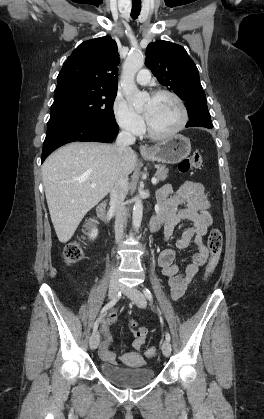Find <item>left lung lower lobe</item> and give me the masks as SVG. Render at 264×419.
<instances>
[{
	"label": "left lung lower lobe",
	"mask_w": 264,
	"mask_h": 419,
	"mask_svg": "<svg viewBox=\"0 0 264 419\" xmlns=\"http://www.w3.org/2000/svg\"><path fill=\"white\" fill-rule=\"evenodd\" d=\"M199 113L194 115H189V121L186 124V127H195V126H201L206 128H212L213 124L211 122L210 116L207 114Z\"/></svg>",
	"instance_id": "0a47b994"
}]
</instances>
